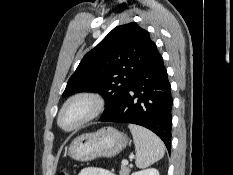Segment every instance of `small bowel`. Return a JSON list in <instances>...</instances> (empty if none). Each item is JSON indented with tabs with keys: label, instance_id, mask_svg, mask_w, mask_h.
I'll return each mask as SVG.
<instances>
[{
	"label": "small bowel",
	"instance_id": "obj_1",
	"mask_svg": "<svg viewBox=\"0 0 233 175\" xmlns=\"http://www.w3.org/2000/svg\"><path fill=\"white\" fill-rule=\"evenodd\" d=\"M78 175H116V174L102 168L87 167L82 169Z\"/></svg>",
	"mask_w": 233,
	"mask_h": 175
}]
</instances>
